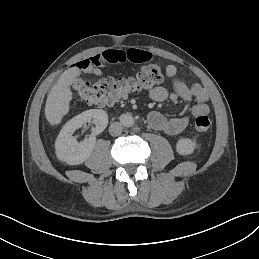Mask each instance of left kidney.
Listing matches in <instances>:
<instances>
[{
	"label": "left kidney",
	"instance_id": "left-kidney-1",
	"mask_svg": "<svg viewBox=\"0 0 259 259\" xmlns=\"http://www.w3.org/2000/svg\"><path fill=\"white\" fill-rule=\"evenodd\" d=\"M198 144L191 138H180L175 144V151L181 156L192 155L195 153Z\"/></svg>",
	"mask_w": 259,
	"mask_h": 259
}]
</instances>
